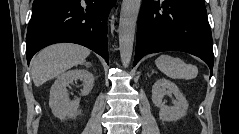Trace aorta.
<instances>
[{
    "label": "aorta",
    "mask_w": 239,
    "mask_h": 134,
    "mask_svg": "<svg viewBox=\"0 0 239 134\" xmlns=\"http://www.w3.org/2000/svg\"><path fill=\"white\" fill-rule=\"evenodd\" d=\"M141 0H123L120 12L118 35L119 51L124 67H128L133 53L136 22Z\"/></svg>",
    "instance_id": "obj_1"
}]
</instances>
